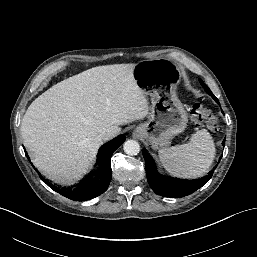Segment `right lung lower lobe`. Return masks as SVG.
<instances>
[{
  "instance_id": "right-lung-lower-lobe-1",
  "label": "right lung lower lobe",
  "mask_w": 257,
  "mask_h": 257,
  "mask_svg": "<svg viewBox=\"0 0 257 257\" xmlns=\"http://www.w3.org/2000/svg\"><path fill=\"white\" fill-rule=\"evenodd\" d=\"M125 141V136L120 135L117 138L104 144L98 152L96 160V169L85 176L74 189L61 190L54 187L51 183L41 177V179L53 190L61 195L74 200L85 201L104 193L111 181V156L113 152ZM27 156V154H26Z\"/></svg>"
}]
</instances>
